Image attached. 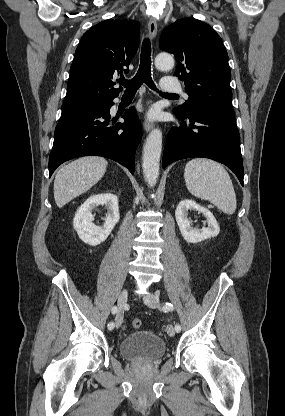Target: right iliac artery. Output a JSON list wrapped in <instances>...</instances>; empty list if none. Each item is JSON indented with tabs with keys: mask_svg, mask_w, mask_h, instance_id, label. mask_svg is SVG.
Returning <instances> with one entry per match:
<instances>
[{
	"mask_svg": "<svg viewBox=\"0 0 285 416\" xmlns=\"http://www.w3.org/2000/svg\"><path fill=\"white\" fill-rule=\"evenodd\" d=\"M112 314H116L117 313V306H113L111 309ZM114 328V323L113 322H109L108 324V329L112 330Z\"/></svg>",
	"mask_w": 285,
	"mask_h": 416,
	"instance_id": "right-iliac-artery-1",
	"label": "right iliac artery"
}]
</instances>
